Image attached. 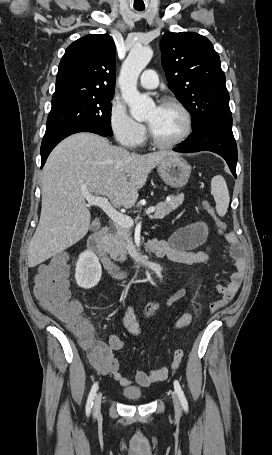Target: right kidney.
Listing matches in <instances>:
<instances>
[{"instance_id":"ca27d5eb","label":"right kidney","mask_w":272,"mask_h":455,"mask_svg":"<svg viewBox=\"0 0 272 455\" xmlns=\"http://www.w3.org/2000/svg\"><path fill=\"white\" fill-rule=\"evenodd\" d=\"M102 268L97 256L91 251L79 255L75 269V279L79 287L90 289L98 284Z\"/></svg>"}]
</instances>
